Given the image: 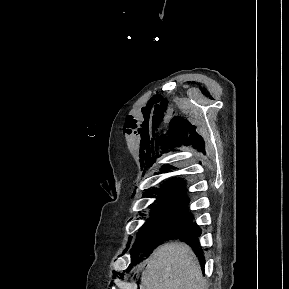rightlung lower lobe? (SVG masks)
<instances>
[{"mask_svg": "<svg viewBox=\"0 0 289 289\" xmlns=\"http://www.w3.org/2000/svg\"><path fill=\"white\" fill-rule=\"evenodd\" d=\"M192 220H193V217L190 221L185 223V225L182 227L181 231L178 234H175L172 236H164V237L154 236V237H150V238L136 242L132 247V251H133L132 256L135 258L139 253L143 252L145 248L150 247L149 251L145 252V254H149L152 248H155L159 243L165 240L182 239L194 249L196 255L199 258L201 265H203L204 264L203 251L199 248V242H198V238L201 235V229ZM139 261H141V259Z\"/></svg>", "mask_w": 289, "mask_h": 289, "instance_id": "98d812e1", "label": "right lung lower lobe"}]
</instances>
